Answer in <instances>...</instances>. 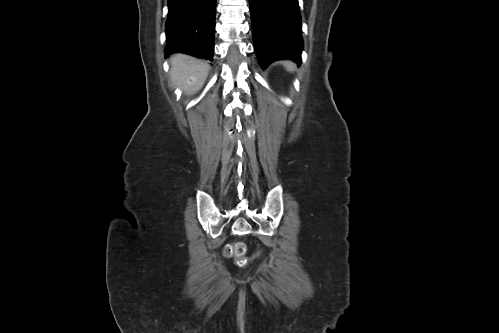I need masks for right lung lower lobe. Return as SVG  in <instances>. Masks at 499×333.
Returning a JSON list of instances; mask_svg holds the SVG:
<instances>
[{"instance_id":"1","label":"right lung lower lobe","mask_w":499,"mask_h":333,"mask_svg":"<svg viewBox=\"0 0 499 333\" xmlns=\"http://www.w3.org/2000/svg\"><path fill=\"white\" fill-rule=\"evenodd\" d=\"M216 0H168L165 56L213 60Z\"/></svg>"}]
</instances>
